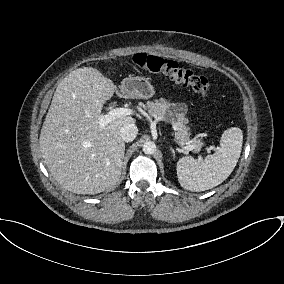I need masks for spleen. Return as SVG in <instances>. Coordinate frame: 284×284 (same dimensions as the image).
I'll return each instance as SVG.
<instances>
[{
	"label": "spleen",
	"instance_id": "1",
	"mask_svg": "<svg viewBox=\"0 0 284 284\" xmlns=\"http://www.w3.org/2000/svg\"><path fill=\"white\" fill-rule=\"evenodd\" d=\"M242 142V130L232 127L222 134L219 149L207 155L203 161L191 156L179 159L176 170L180 185L186 190L199 192L221 184L234 170Z\"/></svg>",
	"mask_w": 284,
	"mask_h": 284
}]
</instances>
